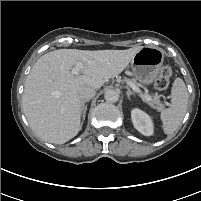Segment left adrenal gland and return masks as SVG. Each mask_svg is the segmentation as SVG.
I'll return each mask as SVG.
<instances>
[{
	"label": "left adrenal gland",
	"instance_id": "left-adrenal-gland-1",
	"mask_svg": "<svg viewBox=\"0 0 201 201\" xmlns=\"http://www.w3.org/2000/svg\"><path fill=\"white\" fill-rule=\"evenodd\" d=\"M126 88H127V97H128V99H130V96L133 95V92H131L128 87H126Z\"/></svg>",
	"mask_w": 201,
	"mask_h": 201
}]
</instances>
